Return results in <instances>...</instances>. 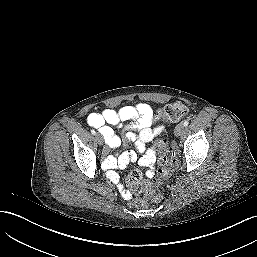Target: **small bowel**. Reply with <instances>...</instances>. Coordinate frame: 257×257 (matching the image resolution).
Here are the masks:
<instances>
[{"mask_svg":"<svg viewBox=\"0 0 257 257\" xmlns=\"http://www.w3.org/2000/svg\"><path fill=\"white\" fill-rule=\"evenodd\" d=\"M157 117L152 108L145 103L126 105L119 109L107 108L102 112H92L87 116V123L96 128L106 144L110 148L118 147L121 144H135L141 156L135 151H125L116 156H108L103 162V168L108 177L113 181L121 196L126 200H131V194L120 184L119 175L113 170L116 168L124 169L129 163L137 161L141 166L147 168L148 176L154 173L156 168V153L146 149V143L150 142L155 136L162 133L164 125L158 124ZM111 125H118L122 128V134L116 135Z\"/></svg>","mask_w":257,"mask_h":257,"instance_id":"1","label":"small bowel"}]
</instances>
